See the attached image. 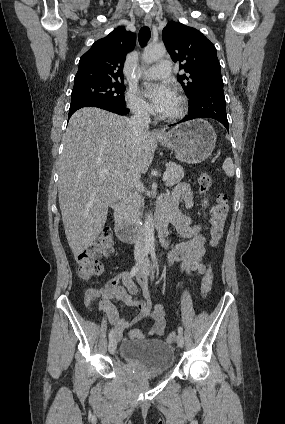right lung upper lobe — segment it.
Listing matches in <instances>:
<instances>
[{"label": "right lung upper lobe", "instance_id": "right-lung-upper-lobe-1", "mask_svg": "<svg viewBox=\"0 0 285 424\" xmlns=\"http://www.w3.org/2000/svg\"><path fill=\"white\" fill-rule=\"evenodd\" d=\"M136 35L117 27L105 38L96 41L79 61L74 84L90 81H120L128 52L132 51Z\"/></svg>", "mask_w": 285, "mask_h": 424}]
</instances>
